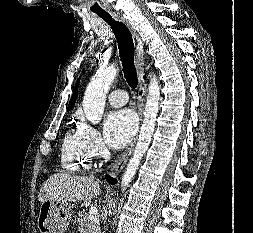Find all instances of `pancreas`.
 <instances>
[{"label": "pancreas", "mask_w": 253, "mask_h": 233, "mask_svg": "<svg viewBox=\"0 0 253 233\" xmlns=\"http://www.w3.org/2000/svg\"><path fill=\"white\" fill-rule=\"evenodd\" d=\"M77 222L82 233H101L100 222L98 219L90 221L89 216L85 210L79 212Z\"/></svg>", "instance_id": "1"}]
</instances>
